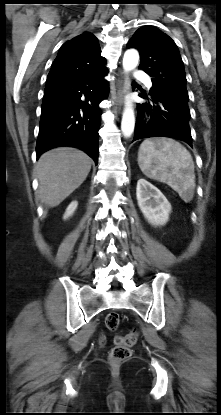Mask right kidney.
<instances>
[{
    "label": "right kidney",
    "instance_id": "right-kidney-1",
    "mask_svg": "<svg viewBox=\"0 0 221 415\" xmlns=\"http://www.w3.org/2000/svg\"><path fill=\"white\" fill-rule=\"evenodd\" d=\"M77 205H78V203H77V201H73V202H71L70 203V205L67 207V209H66V212H65V214H64V216H63V219H67V218H69L70 216H72L73 215V213H74V211L76 210V208H77Z\"/></svg>",
    "mask_w": 221,
    "mask_h": 415
}]
</instances>
